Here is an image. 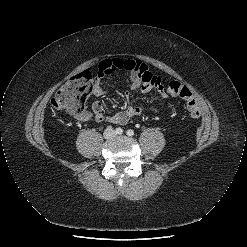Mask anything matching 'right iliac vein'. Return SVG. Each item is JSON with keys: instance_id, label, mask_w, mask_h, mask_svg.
<instances>
[{"instance_id": "right-iliac-vein-1", "label": "right iliac vein", "mask_w": 247, "mask_h": 247, "mask_svg": "<svg viewBox=\"0 0 247 247\" xmlns=\"http://www.w3.org/2000/svg\"><path fill=\"white\" fill-rule=\"evenodd\" d=\"M111 132L110 131H108L107 133H106V136H111Z\"/></svg>"}]
</instances>
